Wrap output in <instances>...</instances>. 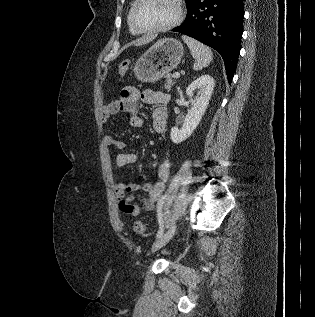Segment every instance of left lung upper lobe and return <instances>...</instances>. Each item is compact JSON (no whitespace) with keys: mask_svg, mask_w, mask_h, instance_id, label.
<instances>
[{"mask_svg":"<svg viewBox=\"0 0 315 317\" xmlns=\"http://www.w3.org/2000/svg\"><path fill=\"white\" fill-rule=\"evenodd\" d=\"M187 7L189 6V4L192 2V0H185Z\"/></svg>","mask_w":315,"mask_h":317,"instance_id":"left-lung-upper-lobe-1","label":"left lung upper lobe"}]
</instances>
